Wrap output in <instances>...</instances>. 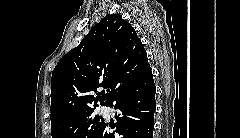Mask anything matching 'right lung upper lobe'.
I'll list each match as a JSON object with an SVG mask.
<instances>
[{"instance_id":"cb5924a9","label":"right lung upper lobe","mask_w":240,"mask_h":138,"mask_svg":"<svg viewBox=\"0 0 240 138\" xmlns=\"http://www.w3.org/2000/svg\"><path fill=\"white\" fill-rule=\"evenodd\" d=\"M150 74L146 51L134 28L120 14L105 16L53 70L51 124L96 107L97 102L108 106ZM102 86L107 93L92 94Z\"/></svg>"}]
</instances>
